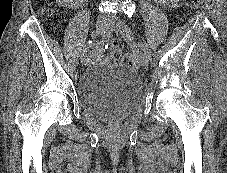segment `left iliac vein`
<instances>
[{"label": "left iliac vein", "mask_w": 227, "mask_h": 173, "mask_svg": "<svg viewBox=\"0 0 227 173\" xmlns=\"http://www.w3.org/2000/svg\"><path fill=\"white\" fill-rule=\"evenodd\" d=\"M108 27L114 29L117 34H119L127 43L135 46V38L133 32L126 27V25L117 17L108 18ZM150 57L147 54L141 56V65L143 67H148L150 62Z\"/></svg>", "instance_id": "1"}]
</instances>
